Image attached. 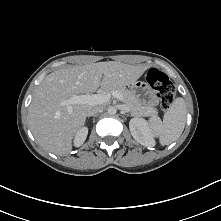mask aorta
Wrapping results in <instances>:
<instances>
[{"mask_svg": "<svg viewBox=\"0 0 221 221\" xmlns=\"http://www.w3.org/2000/svg\"><path fill=\"white\" fill-rule=\"evenodd\" d=\"M116 112H117L116 107L110 106V107L108 108V114H109V115H115Z\"/></svg>", "mask_w": 221, "mask_h": 221, "instance_id": "762f6f07", "label": "aorta"}]
</instances>
